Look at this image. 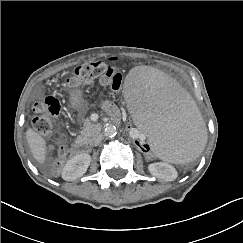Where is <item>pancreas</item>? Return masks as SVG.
Wrapping results in <instances>:
<instances>
[{
	"label": "pancreas",
	"mask_w": 243,
	"mask_h": 243,
	"mask_svg": "<svg viewBox=\"0 0 243 243\" xmlns=\"http://www.w3.org/2000/svg\"><path fill=\"white\" fill-rule=\"evenodd\" d=\"M100 130L101 128L99 125L92 124L87 118L84 121V127L81 134L77 137V140L85 143H91L94 137L99 134Z\"/></svg>",
	"instance_id": "1"
}]
</instances>
